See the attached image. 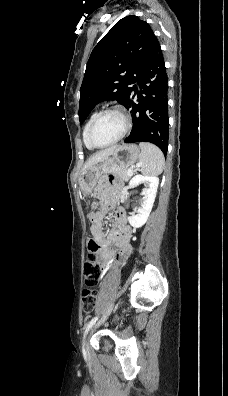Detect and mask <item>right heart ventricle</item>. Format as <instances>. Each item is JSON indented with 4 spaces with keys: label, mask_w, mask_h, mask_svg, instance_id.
<instances>
[{
    "label": "right heart ventricle",
    "mask_w": 228,
    "mask_h": 396,
    "mask_svg": "<svg viewBox=\"0 0 228 396\" xmlns=\"http://www.w3.org/2000/svg\"><path fill=\"white\" fill-rule=\"evenodd\" d=\"M96 114H97L96 112H94V113L91 114V116L89 117V119L87 120V122H86V124H85V126H84V128H83V141H84L85 146H86L88 149H93V148L89 145L88 138H87V134H88V129H89V127H90V124H91V122H92V120H93V118L95 117Z\"/></svg>",
    "instance_id": "1"
}]
</instances>
